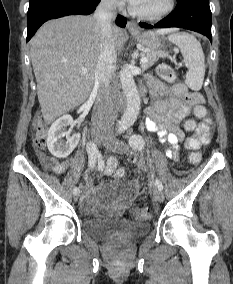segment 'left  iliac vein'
<instances>
[{
  "label": "left iliac vein",
  "mask_w": 233,
  "mask_h": 284,
  "mask_svg": "<svg viewBox=\"0 0 233 284\" xmlns=\"http://www.w3.org/2000/svg\"><path fill=\"white\" fill-rule=\"evenodd\" d=\"M104 146L114 152L118 153H125L128 151V145L125 142L119 141L116 138L109 137L106 138V141L104 142ZM153 197L157 202H163L164 200V194L161 190H154L153 191Z\"/></svg>",
  "instance_id": "4c4485c4"
}]
</instances>
